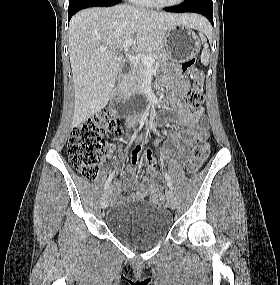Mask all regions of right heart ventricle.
<instances>
[{"label":"right heart ventricle","instance_id":"obj_1","mask_svg":"<svg viewBox=\"0 0 280 285\" xmlns=\"http://www.w3.org/2000/svg\"><path fill=\"white\" fill-rule=\"evenodd\" d=\"M134 2L140 6H152L150 0H134Z\"/></svg>","mask_w":280,"mask_h":285}]
</instances>
